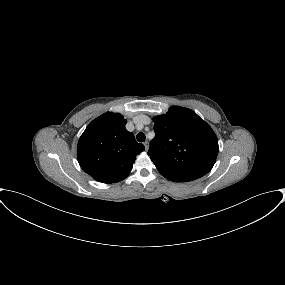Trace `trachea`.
<instances>
[{"label": "trachea", "mask_w": 285, "mask_h": 285, "mask_svg": "<svg viewBox=\"0 0 285 285\" xmlns=\"http://www.w3.org/2000/svg\"><path fill=\"white\" fill-rule=\"evenodd\" d=\"M145 139H146V136H145V134L143 132H140V133L137 134V141L138 142H144Z\"/></svg>", "instance_id": "1"}]
</instances>
